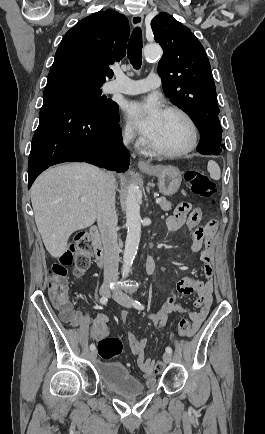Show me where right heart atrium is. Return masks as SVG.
Listing matches in <instances>:
<instances>
[{
    "label": "right heart atrium",
    "instance_id": "obj_1",
    "mask_svg": "<svg viewBox=\"0 0 265 434\" xmlns=\"http://www.w3.org/2000/svg\"><path fill=\"white\" fill-rule=\"evenodd\" d=\"M122 124H126V121H122ZM121 128H125V132H122L121 139L117 140V147L127 148L129 154H136L137 151H141L144 148L145 139L138 132H133V128L129 125H121Z\"/></svg>",
    "mask_w": 265,
    "mask_h": 434
}]
</instances>
